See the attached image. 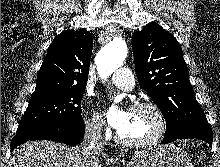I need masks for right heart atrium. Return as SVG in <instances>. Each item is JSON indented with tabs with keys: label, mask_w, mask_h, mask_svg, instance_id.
Returning a JSON list of instances; mask_svg holds the SVG:
<instances>
[{
	"label": "right heart atrium",
	"mask_w": 220,
	"mask_h": 167,
	"mask_svg": "<svg viewBox=\"0 0 220 167\" xmlns=\"http://www.w3.org/2000/svg\"><path fill=\"white\" fill-rule=\"evenodd\" d=\"M84 126L91 136H100L105 131V123L101 114L93 107L86 106L84 113Z\"/></svg>",
	"instance_id": "right-heart-atrium-1"
}]
</instances>
